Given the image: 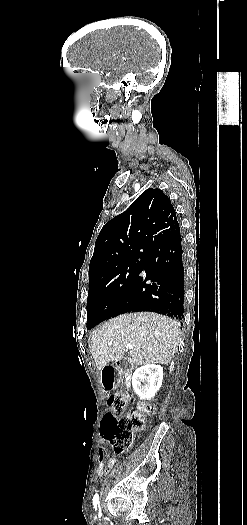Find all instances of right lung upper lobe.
Segmentation results:
<instances>
[{
    "label": "right lung upper lobe",
    "instance_id": "cb5924a9",
    "mask_svg": "<svg viewBox=\"0 0 247 525\" xmlns=\"http://www.w3.org/2000/svg\"><path fill=\"white\" fill-rule=\"evenodd\" d=\"M179 229L170 199L160 189L145 190L101 229L89 274L131 264Z\"/></svg>",
    "mask_w": 247,
    "mask_h": 525
}]
</instances>
